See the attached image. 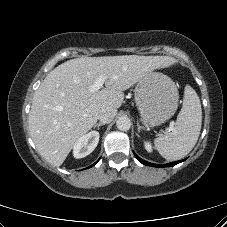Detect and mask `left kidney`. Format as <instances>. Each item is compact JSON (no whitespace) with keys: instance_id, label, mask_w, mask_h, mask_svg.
<instances>
[{"instance_id":"left-kidney-1","label":"left kidney","mask_w":227,"mask_h":227,"mask_svg":"<svg viewBox=\"0 0 227 227\" xmlns=\"http://www.w3.org/2000/svg\"><path fill=\"white\" fill-rule=\"evenodd\" d=\"M144 147L148 152H152V150H153L151 143L148 141H144Z\"/></svg>"}]
</instances>
